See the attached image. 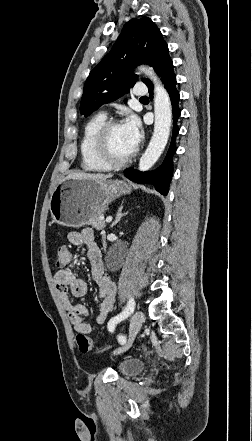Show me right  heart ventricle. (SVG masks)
<instances>
[{
	"mask_svg": "<svg viewBox=\"0 0 252 441\" xmlns=\"http://www.w3.org/2000/svg\"><path fill=\"white\" fill-rule=\"evenodd\" d=\"M106 121L102 113L92 116L84 125L80 140L81 167L87 172H105L109 168L97 159L93 152V138L98 128Z\"/></svg>",
	"mask_w": 252,
	"mask_h": 441,
	"instance_id": "right-heart-ventricle-1",
	"label": "right heart ventricle"
}]
</instances>
